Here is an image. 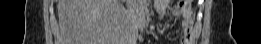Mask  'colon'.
Instances as JSON below:
<instances>
[{"label":"colon","instance_id":"obj_1","mask_svg":"<svg viewBox=\"0 0 261 44\" xmlns=\"http://www.w3.org/2000/svg\"><path fill=\"white\" fill-rule=\"evenodd\" d=\"M177 5L179 8H184L185 6H190L191 2L186 0V1H178Z\"/></svg>","mask_w":261,"mask_h":44}]
</instances>
